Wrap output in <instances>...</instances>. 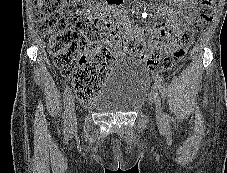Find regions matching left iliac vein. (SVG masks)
<instances>
[{"mask_svg":"<svg viewBox=\"0 0 227 173\" xmlns=\"http://www.w3.org/2000/svg\"><path fill=\"white\" fill-rule=\"evenodd\" d=\"M152 97L154 99L155 105H156V120L157 123L162 125L165 121V114L163 112L162 108V102L159 96L158 89L153 85L152 87Z\"/></svg>","mask_w":227,"mask_h":173,"instance_id":"left-iliac-vein-1","label":"left iliac vein"}]
</instances>
